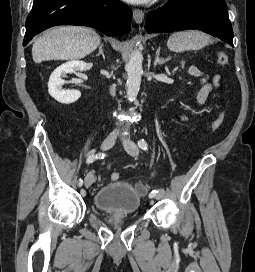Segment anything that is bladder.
<instances>
[{
	"mask_svg": "<svg viewBox=\"0 0 255 272\" xmlns=\"http://www.w3.org/2000/svg\"><path fill=\"white\" fill-rule=\"evenodd\" d=\"M142 194L126 181L110 182L96 191L95 207L110 215L135 214L141 205Z\"/></svg>",
	"mask_w": 255,
	"mask_h": 272,
	"instance_id": "obj_1",
	"label": "bladder"
}]
</instances>
